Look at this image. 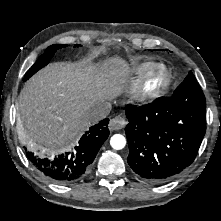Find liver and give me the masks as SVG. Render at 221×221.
<instances>
[{
	"label": "liver",
	"instance_id": "6515ba94",
	"mask_svg": "<svg viewBox=\"0 0 221 221\" xmlns=\"http://www.w3.org/2000/svg\"><path fill=\"white\" fill-rule=\"evenodd\" d=\"M131 72L120 57L101 67L85 62L49 64L20 93L17 120L22 138L30 145L73 146L91 125L86 113L92 104L123 93Z\"/></svg>",
	"mask_w": 221,
	"mask_h": 221
}]
</instances>
